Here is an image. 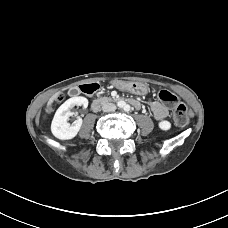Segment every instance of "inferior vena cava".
Masks as SVG:
<instances>
[{
	"instance_id": "1",
	"label": "inferior vena cava",
	"mask_w": 228,
	"mask_h": 228,
	"mask_svg": "<svg viewBox=\"0 0 228 228\" xmlns=\"http://www.w3.org/2000/svg\"><path fill=\"white\" fill-rule=\"evenodd\" d=\"M102 110L104 112H113L116 110V105L113 104V103H105L103 106H102Z\"/></svg>"
}]
</instances>
